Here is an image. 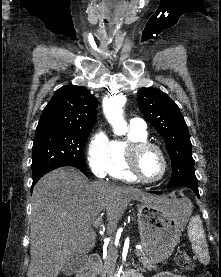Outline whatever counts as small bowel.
<instances>
[{
	"instance_id": "small-bowel-1",
	"label": "small bowel",
	"mask_w": 221,
	"mask_h": 277,
	"mask_svg": "<svg viewBox=\"0 0 221 277\" xmlns=\"http://www.w3.org/2000/svg\"><path fill=\"white\" fill-rule=\"evenodd\" d=\"M138 277H141V276H138ZM154 277H187V276L176 274V273H171V272H162V273L157 274Z\"/></svg>"
}]
</instances>
